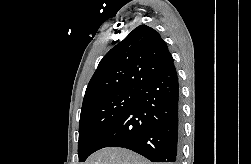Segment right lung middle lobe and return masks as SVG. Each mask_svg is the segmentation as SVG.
I'll list each match as a JSON object with an SVG mask.
<instances>
[{
    "label": "right lung middle lobe",
    "mask_w": 251,
    "mask_h": 164,
    "mask_svg": "<svg viewBox=\"0 0 251 164\" xmlns=\"http://www.w3.org/2000/svg\"><path fill=\"white\" fill-rule=\"evenodd\" d=\"M138 91L135 88L120 89L83 104L79 123V162H84L93 153L99 140L136 101Z\"/></svg>",
    "instance_id": "right-lung-middle-lobe-1"
}]
</instances>
